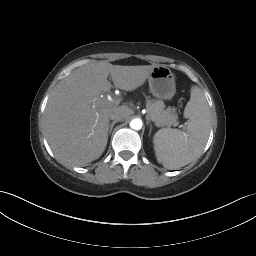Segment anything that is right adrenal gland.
<instances>
[{
    "label": "right adrenal gland",
    "mask_w": 256,
    "mask_h": 256,
    "mask_svg": "<svg viewBox=\"0 0 256 256\" xmlns=\"http://www.w3.org/2000/svg\"><path fill=\"white\" fill-rule=\"evenodd\" d=\"M117 123V121H113V122H111V124H110V126H109V135L111 134V132H112V129H113V127H114V125Z\"/></svg>",
    "instance_id": "1"
}]
</instances>
